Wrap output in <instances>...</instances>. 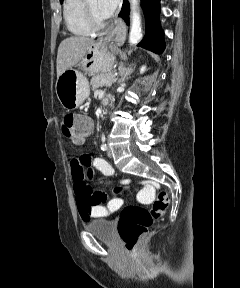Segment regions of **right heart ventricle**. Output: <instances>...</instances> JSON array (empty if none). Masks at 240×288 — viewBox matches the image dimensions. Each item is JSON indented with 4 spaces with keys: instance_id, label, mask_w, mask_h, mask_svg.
Segmentation results:
<instances>
[{
    "instance_id": "right-heart-ventricle-1",
    "label": "right heart ventricle",
    "mask_w": 240,
    "mask_h": 288,
    "mask_svg": "<svg viewBox=\"0 0 240 288\" xmlns=\"http://www.w3.org/2000/svg\"><path fill=\"white\" fill-rule=\"evenodd\" d=\"M63 15L66 27L72 34L87 36L92 33L85 18L84 0H65Z\"/></svg>"
}]
</instances>
